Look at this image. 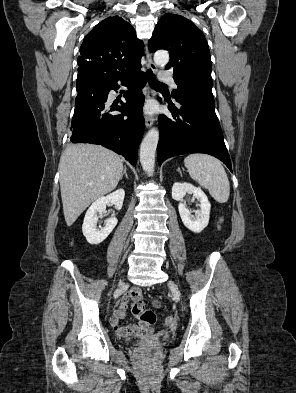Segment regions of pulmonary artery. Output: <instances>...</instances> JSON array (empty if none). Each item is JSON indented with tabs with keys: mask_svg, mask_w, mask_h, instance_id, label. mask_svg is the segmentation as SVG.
I'll use <instances>...</instances> for the list:
<instances>
[{
	"mask_svg": "<svg viewBox=\"0 0 296 393\" xmlns=\"http://www.w3.org/2000/svg\"><path fill=\"white\" fill-rule=\"evenodd\" d=\"M160 81L162 83H167V84L171 85L173 88H176V83L170 74L163 73L160 77Z\"/></svg>",
	"mask_w": 296,
	"mask_h": 393,
	"instance_id": "1",
	"label": "pulmonary artery"
}]
</instances>
